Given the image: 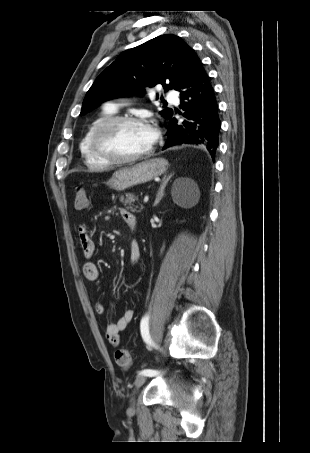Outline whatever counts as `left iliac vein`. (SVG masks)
Here are the masks:
<instances>
[{
  "instance_id": "left-iliac-vein-1",
  "label": "left iliac vein",
  "mask_w": 310,
  "mask_h": 453,
  "mask_svg": "<svg viewBox=\"0 0 310 453\" xmlns=\"http://www.w3.org/2000/svg\"><path fill=\"white\" fill-rule=\"evenodd\" d=\"M146 381V376L143 374L138 375L135 378L134 385H135V391H137ZM135 411V406L134 403H132V406L130 407V412Z\"/></svg>"
}]
</instances>
